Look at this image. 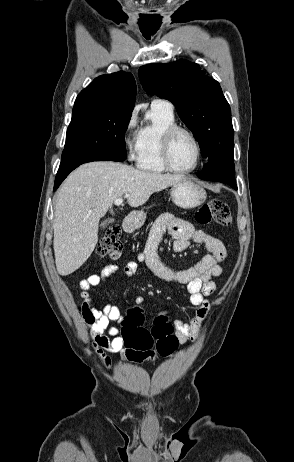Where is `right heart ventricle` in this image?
I'll use <instances>...</instances> for the list:
<instances>
[{"label":"right heart ventricle","mask_w":294,"mask_h":462,"mask_svg":"<svg viewBox=\"0 0 294 462\" xmlns=\"http://www.w3.org/2000/svg\"><path fill=\"white\" fill-rule=\"evenodd\" d=\"M174 125L177 122L173 110L151 105L136 134V164L139 169L156 174L167 171L161 160V139L164 131Z\"/></svg>","instance_id":"e07e8e85"}]
</instances>
